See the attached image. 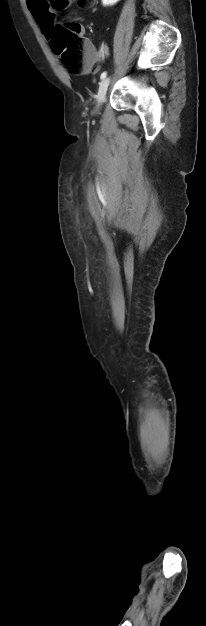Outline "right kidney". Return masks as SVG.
<instances>
[{
  "label": "right kidney",
  "mask_w": 206,
  "mask_h": 626,
  "mask_svg": "<svg viewBox=\"0 0 206 626\" xmlns=\"http://www.w3.org/2000/svg\"><path fill=\"white\" fill-rule=\"evenodd\" d=\"M120 0H102L103 6H112L119 2Z\"/></svg>",
  "instance_id": "ca27d5eb"
}]
</instances>
